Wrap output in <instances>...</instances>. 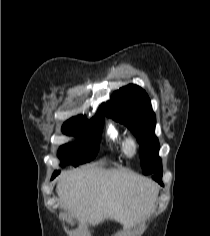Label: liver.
Instances as JSON below:
<instances>
[{"instance_id":"obj_1","label":"liver","mask_w":210,"mask_h":236,"mask_svg":"<svg viewBox=\"0 0 210 236\" xmlns=\"http://www.w3.org/2000/svg\"><path fill=\"white\" fill-rule=\"evenodd\" d=\"M56 191L79 223L95 226L110 219L126 229L147 218L159 192L147 178L98 166L64 173Z\"/></svg>"}]
</instances>
